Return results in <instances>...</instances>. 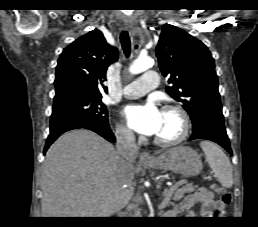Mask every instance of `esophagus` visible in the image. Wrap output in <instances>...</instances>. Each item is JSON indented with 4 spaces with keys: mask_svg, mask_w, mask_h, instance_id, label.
<instances>
[{
    "mask_svg": "<svg viewBox=\"0 0 258 227\" xmlns=\"http://www.w3.org/2000/svg\"><path fill=\"white\" fill-rule=\"evenodd\" d=\"M124 27L133 28L132 24H130V23H125ZM152 161H153V158H152V156L150 155L149 152L144 151V152L141 153L140 162L145 163V162H152Z\"/></svg>",
    "mask_w": 258,
    "mask_h": 227,
    "instance_id": "esophagus-1",
    "label": "esophagus"
}]
</instances>
